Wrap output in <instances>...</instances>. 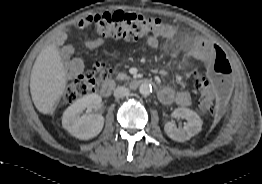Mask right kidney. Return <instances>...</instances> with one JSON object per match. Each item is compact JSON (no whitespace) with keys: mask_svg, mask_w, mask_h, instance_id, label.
I'll use <instances>...</instances> for the list:
<instances>
[{"mask_svg":"<svg viewBox=\"0 0 262 184\" xmlns=\"http://www.w3.org/2000/svg\"><path fill=\"white\" fill-rule=\"evenodd\" d=\"M102 101L98 94L86 95L71 106L63 113L62 126L71 135L81 140H88L97 136L104 125V118L99 114H89L80 116L87 109H96Z\"/></svg>","mask_w":262,"mask_h":184,"instance_id":"1","label":"right kidney"}]
</instances>
